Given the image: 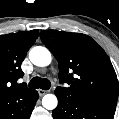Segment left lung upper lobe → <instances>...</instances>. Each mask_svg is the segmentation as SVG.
Returning a JSON list of instances; mask_svg holds the SVG:
<instances>
[{
  "mask_svg": "<svg viewBox=\"0 0 119 119\" xmlns=\"http://www.w3.org/2000/svg\"><path fill=\"white\" fill-rule=\"evenodd\" d=\"M40 37L58 61L59 79L69 87H57L87 103L116 108L118 80L105 51L89 36L57 30H43Z\"/></svg>",
  "mask_w": 119,
  "mask_h": 119,
  "instance_id": "obj_1",
  "label": "left lung upper lobe"
}]
</instances>
